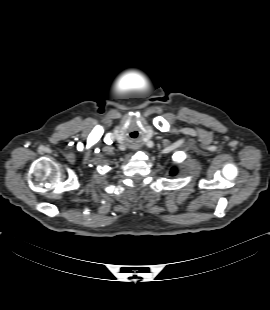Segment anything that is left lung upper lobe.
<instances>
[{"instance_id":"obj_1","label":"left lung upper lobe","mask_w":270,"mask_h":310,"mask_svg":"<svg viewBox=\"0 0 270 310\" xmlns=\"http://www.w3.org/2000/svg\"><path fill=\"white\" fill-rule=\"evenodd\" d=\"M176 174V169H172V171H171V175H175Z\"/></svg>"}]
</instances>
